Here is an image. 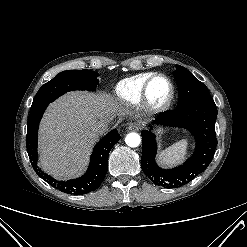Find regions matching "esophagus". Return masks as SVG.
<instances>
[{"instance_id":"1","label":"esophagus","mask_w":247,"mask_h":247,"mask_svg":"<svg viewBox=\"0 0 247 247\" xmlns=\"http://www.w3.org/2000/svg\"><path fill=\"white\" fill-rule=\"evenodd\" d=\"M128 130L129 131H139V130H141V126H140V124H138V123H129L128 124Z\"/></svg>"}]
</instances>
